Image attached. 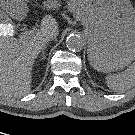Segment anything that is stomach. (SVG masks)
<instances>
[{
    "instance_id": "stomach-1",
    "label": "stomach",
    "mask_w": 135,
    "mask_h": 135,
    "mask_svg": "<svg viewBox=\"0 0 135 135\" xmlns=\"http://www.w3.org/2000/svg\"><path fill=\"white\" fill-rule=\"evenodd\" d=\"M27 0H3L13 15L24 14ZM85 29L88 59L100 72L123 69L135 60V10L129 0H63ZM53 0L51 5H58Z\"/></svg>"
}]
</instances>
